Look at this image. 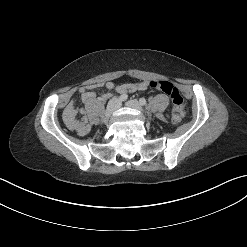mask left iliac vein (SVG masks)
I'll return each mask as SVG.
<instances>
[{"label": "left iliac vein", "mask_w": 247, "mask_h": 247, "mask_svg": "<svg viewBox=\"0 0 247 247\" xmlns=\"http://www.w3.org/2000/svg\"><path fill=\"white\" fill-rule=\"evenodd\" d=\"M126 105L130 108H134V109L140 111L142 117L145 118V113H144L140 103L137 100H135V99L129 100L126 102Z\"/></svg>", "instance_id": "1"}]
</instances>
